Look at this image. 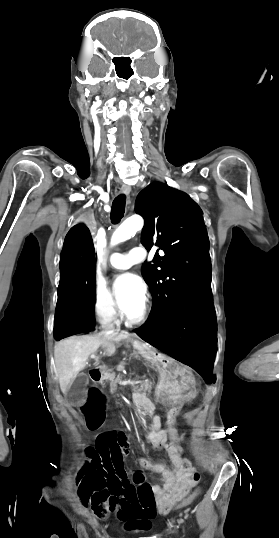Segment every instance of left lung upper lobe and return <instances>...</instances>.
<instances>
[{
	"instance_id": "5c2ea615",
	"label": "left lung upper lobe",
	"mask_w": 279,
	"mask_h": 538,
	"mask_svg": "<svg viewBox=\"0 0 279 538\" xmlns=\"http://www.w3.org/2000/svg\"><path fill=\"white\" fill-rule=\"evenodd\" d=\"M135 212L145 225L142 244L158 246L154 264H144L142 275L150 288L153 306L146 328L166 322L195 293L211 287L209 241L201 211L191 198L166 184L155 182L141 191Z\"/></svg>"
}]
</instances>
